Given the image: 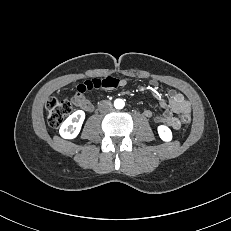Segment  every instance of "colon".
Segmentation results:
<instances>
[{
  "mask_svg": "<svg viewBox=\"0 0 231 231\" xmlns=\"http://www.w3.org/2000/svg\"><path fill=\"white\" fill-rule=\"evenodd\" d=\"M48 124L53 127H59L63 120L73 111V103L70 100H59L50 98L46 102ZM181 121L185 127L191 122L190 114H183Z\"/></svg>",
  "mask_w": 231,
  "mask_h": 231,
  "instance_id": "5ec220e1",
  "label": "colon"
}]
</instances>
